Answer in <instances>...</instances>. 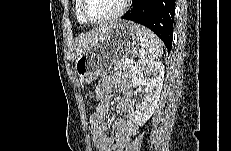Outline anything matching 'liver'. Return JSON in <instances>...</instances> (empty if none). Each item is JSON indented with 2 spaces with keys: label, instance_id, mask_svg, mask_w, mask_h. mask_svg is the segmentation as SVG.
<instances>
[{
  "label": "liver",
  "instance_id": "6515ba94",
  "mask_svg": "<svg viewBox=\"0 0 231 151\" xmlns=\"http://www.w3.org/2000/svg\"><path fill=\"white\" fill-rule=\"evenodd\" d=\"M111 24L112 23L103 24L86 34H81L76 39V48H75L74 58H76L79 54L89 49L90 47L98 44V42L102 39V37L109 30Z\"/></svg>",
  "mask_w": 231,
  "mask_h": 151
}]
</instances>
